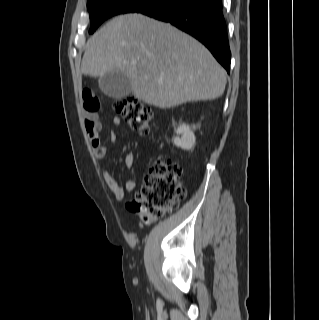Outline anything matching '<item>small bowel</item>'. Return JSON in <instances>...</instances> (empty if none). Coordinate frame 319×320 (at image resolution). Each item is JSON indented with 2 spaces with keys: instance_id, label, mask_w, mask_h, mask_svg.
Wrapping results in <instances>:
<instances>
[{
  "instance_id": "1",
  "label": "small bowel",
  "mask_w": 319,
  "mask_h": 320,
  "mask_svg": "<svg viewBox=\"0 0 319 320\" xmlns=\"http://www.w3.org/2000/svg\"><path fill=\"white\" fill-rule=\"evenodd\" d=\"M82 99L84 103V112H85V128L88 133V137L93 144L94 153L97 159L105 158L107 154V147L102 144L99 133L102 128L101 122L99 120V101L94 97L93 93L89 89H84L82 92ZM114 126L118 127L122 124L121 119L118 116H115L112 119ZM110 138L112 141L117 140V133L112 131L110 133ZM135 161V155L133 153H128L125 156V167L130 169ZM103 180L112 191L114 196L117 199H122L125 196V193H131L136 189V181L130 179L126 182L125 187H122L114 176L107 170L102 171Z\"/></svg>"
}]
</instances>
